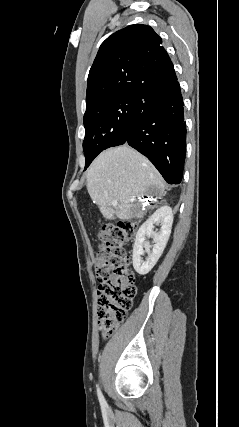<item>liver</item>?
I'll return each instance as SVG.
<instances>
[{
	"instance_id": "1",
	"label": "liver",
	"mask_w": 239,
	"mask_h": 427,
	"mask_svg": "<svg viewBox=\"0 0 239 427\" xmlns=\"http://www.w3.org/2000/svg\"><path fill=\"white\" fill-rule=\"evenodd\" d=\"M156 188L159 195L165 182L157 169L139 152L128 145L103 151L87 172V190L109 220H130L140 210L138 199ZM117 204L113 205L112 201Z\"/></svg>"
}]
</instances>
